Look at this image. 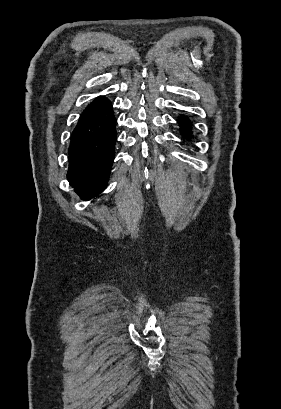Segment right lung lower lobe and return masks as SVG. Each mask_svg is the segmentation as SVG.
Segmentation results:
<instances>
[{
  "label": "right lung lower lobe",
  "mask_w": 281,
  "mask_h": 409,
  "mask_svg": "<svg viewBox=\"0 0 281 409\" xmlns=\"http://www.w3.org/2000/svg\"><path fill=\"white\" fill-rule=\"evenodd\" d=\"M116 143L111 102L98 97L82 112L71 134L67 178L82 199L98 195L110 175Z\"/></svg>",
  "instance_id": "1"
}]
</instances>
